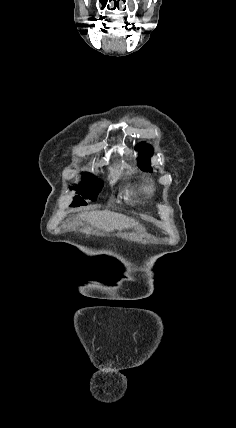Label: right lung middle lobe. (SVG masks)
<instances>
[{
	"label": "right lung middle lobe",
	"instance_id": "obj_1",
	"mask_svg": "<svg viewBox=\"0 0 236 428\" xmlns=\"http://www.w3.org/2000/svg\"><path fill=\"white\" fill-rule=\"evenodd\" d=\"M103 182L90 173H83V183L80 186L71 187L70 189L77 190V194L73 198L71 207H79L80 205H87L86 200L95 201L97 195L101 191Z\"/></svg>",
	"mask_w": 236,
	"mask_h": 428
}]
</instances>
